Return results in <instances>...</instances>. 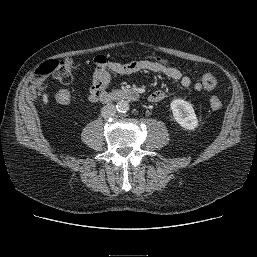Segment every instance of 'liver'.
I'll list each match as a JSON object with an SVG mask.
<instances>
[{
  "mask_svg": "<svg viewBox=\"0 0 257 257\" xmlns=\"http://www.w3.org/2000/svg\"><path fill=\"white\" fill-rule=\"evenodd\" d=\"M43 102H44L45 104H48V96H47L46 93L43 94Z\"/></svg>",
  "mask_w": 257,
  "mask_h": 257,
  "instance_id": "obj_1",
  "label": "liver"
}]
</instances>
